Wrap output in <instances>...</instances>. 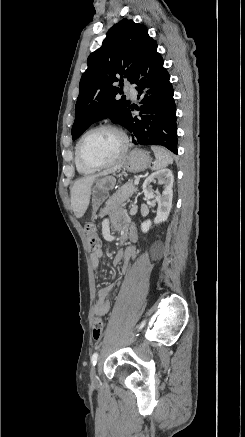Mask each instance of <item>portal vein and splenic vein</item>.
<instances>
[{"label":"portal vein and splenic vein","instance_id":"obj_1","mask_svg":"<svg viewBox=\"0 0 245 437\" xmlns=\"http://www.w3.org/2000/svg\"><path fill=\"white\" fill-rule=\"evenodd\" d=\"M134 184H135V185H138V184H139V179H138V178L135 179Z\"/></svg>","mask_w":245,"mask_h":437}]
</instances>
